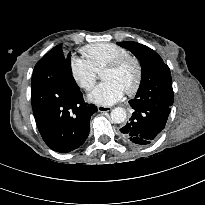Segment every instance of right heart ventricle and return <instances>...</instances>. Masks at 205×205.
Masks as SVG:
<instances>
[{
    "instance_id": "1",
    "label": "right heart ventricle",
    "mask_w": 205,
    "mask_h": 205,
    "mask_svg": "<svg viewBox=\"0 0 205 205\" xmlns=\"http://www.w3.org/2000/svg\"><path fill=\"white\" fill-rule=\"evenodd\" d=\"M81 53L96 72L103 70L115 59L129 55L128 50L124 47L108 42L86 45L81 49Z\"/></svg>"
}]
</instances>
